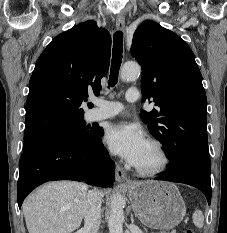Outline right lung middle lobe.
<instances>
[{
    "instance_id": "dd1d6c3e",
    "label": "right lung middle lobe",
    "mask_w": 227,
    "mask_h": 233,
    "mask_svg": "<svg viewBox=\"0 0 227 233\" xmlns=\"http://www.w3.org/2000/svg\"><path fill=\"white\" fill-rule=\"evenodd\" d=\"M96 133L95 128L86 126L83 117L58 125L48 130L24 135L23 151L37 145L54 141L78 142L92 138Z\"/></svg>"
}]
</instances>
